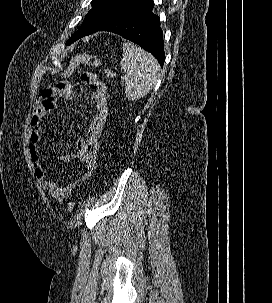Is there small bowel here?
<instances>
[{
  "mask_svg": "<svg viewBox=\"0 0 272 303\" xmlns=\"http://www.w3.org/2000/svg\"><path fill=\"white\" fill-rule=\"evenodd\" d=\"M81 80L90 89V102L94 111L89 118L85 137L74 142V153L59 156L64 162L74 159L81 161L83 171L77 178L67 183L49 179L42 165L40 153L41 122L44 116L56 109L59 99L72 100L75 96V85L69 81H60L54 86L44 88L40 92L30 119L28 150L32 168L40 185L57 202H63L78 185L90 179L98 166L99 140L108 114L107 89L105 83L93 73H83Z\"/></svg>",
  "mask_w": 272,
  "mask_h": 303,
  "instance_id": "small-bowel-1",
  "label": "small bowel"
}]
</instances>
